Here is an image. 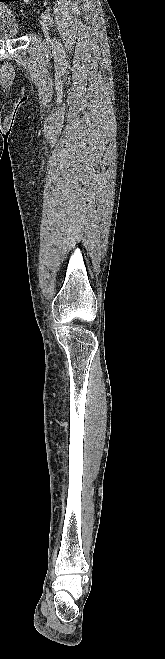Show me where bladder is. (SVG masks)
<instances>
[{"label":"bladder","mask_w":165,"mask_h":659,"mask_svg":"<svg viewBox=\"0 0 165 659\" xmlns=\"http://www.w3.org/2000/svg\"><path fill=\"white\" fill-rule=\"evenodd\" d=\"M21 28L16 15L10 8L0 5V40L16 39Z\"/></svg>","instance_id":"1"}]
</instances>
